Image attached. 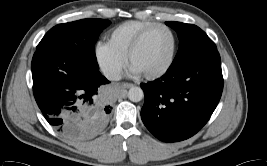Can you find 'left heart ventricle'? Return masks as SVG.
Here are the masks:
<instances>
[{
  "label": "left heart ventricle",
  "mask_w": 267,
  "mask_h": 166,
  "mask_svg": "<svg viewBox=\"0 0 267 166\" xmlns=\"http://www.w3.org/2000/svg\"><path fill=\"white\" fill-rule=\"evenodd\" d=\"M172 49L170 33L164 29L152 32L142 43L132 59V66L141 73L161 69L169 60Z\"/></svg>",
  "instance_id": "obj_1"
}]
</instances>
